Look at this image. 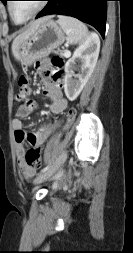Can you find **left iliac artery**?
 <instances>
[{
	"label": "left iliac artery",
	"instance_id": "1",
	"mask_svg": "<svg viewBox=\"0 0 133 253\" xmlns=\"http://www.w3.org/2000/svg\"><path fill=\"white\" fill-rule=\"evenodd\" d=\"M51 166H52V163H50L49 165H47L46 167H44V168L41 170V172L43 173V172L47 171Z\"/></svg>",
	"mask_w": 133,
	"mask_h": 253
}]
</instances>
